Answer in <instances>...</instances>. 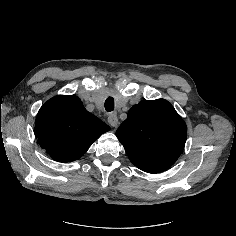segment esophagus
<instances>
[{"mask_svg": "<svg viewBox=\"0 0 236 236\" xmlns=\"http://www.w3.org/2000/svg\"><path fill=\"white\" fill-rule=\"evenodd\" d=\"M108 122H109V124L111 125V126H113V127H117L118 126V118H117V115H115V114H110L109 116H108Z\"/></svg>", "mask_w": 236, "mask_h": 236, "instance_id": "1", "label": "esophagus"}]
</instances>
